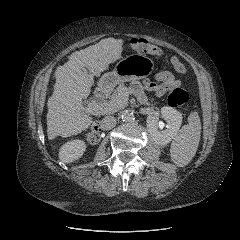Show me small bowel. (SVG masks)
<instances>
[{
	"label": "small bowel",
	"instance_id": "1",
	"mask_svg": "<svg viewBox=\"0 0 240 240\" xmlns=\"http://www.w3.org/2000/svg\"><path fill=\"white\" fill-rule=\"evenodd\" d=\"M171 63L174 69L179 73H186V67L184 64L177 58L172 57ZM157 81L159 83H148L146 88L152 92H154L157 96H162L169 90L178 88L181 85L179 79H177L171 72L169 71H162L160 72L157 77ZM132 91L133 93L142 101H145V96L143 94L142 85L139 82H134L132 84Z\"/></svg>",
	"mask_w": 240,
	"mask_h": 240
}]
</instances>
